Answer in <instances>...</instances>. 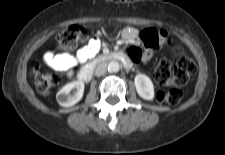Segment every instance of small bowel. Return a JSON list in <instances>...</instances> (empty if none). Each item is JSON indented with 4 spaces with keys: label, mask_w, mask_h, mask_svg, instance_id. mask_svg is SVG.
Returning a JSON list of instances; mask_svg holds the SVG:
<instances>
[{
    "label": "small bowel",
    "mask_w": 225,
    "mask_h": 155,
    "mask_svg": "<svg viewBox=\"0 0 225 155\" xmlns=\"http://www.w3.org/2000/svg\"><path fill=\"white\" fill-rule=\"evenodd\" d=\"M125 38L129 42H134L138 36V33L135 30H128L125 32ZM101 48V41L98 37L92 38L88 44L81 49H79L75 56L62 53V54H54L51 51H48L44 54L43 59L45 63L53 69L56 70H70L74 66L79 63H84L88 59L92 58L95 54L99 52ZM151 57V52H144L143 61H148Z\"/></svg>",
    "instance_id": "small-bowel-1"
}]
</instances>
